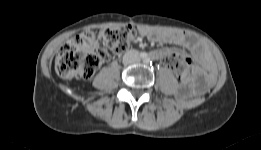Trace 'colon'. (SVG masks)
Listing matches in <instances>:
<instances>
[{"instance_id": "colon-1", "label": "colon", "mask_w": 261, "mask_h": 150, "mask_svg": "<svg viewBox=\"0 0 261 150\" xmlns=\"http://www.w3.org/2000/svg\"><path fill=\"white\" fill-rule=\"evenodd\" d=\"M139 31L132 25L102 30L89 38L74 36L64 43L55 59V71L62 79H88L100 67L109 52L120 55L127 51L138 38ZM103 41L105 48L95 40ZM162 63L173 69L182 83L190 79L191 60L184 54L170 51Z\"/></svg>"}]
</instances>
